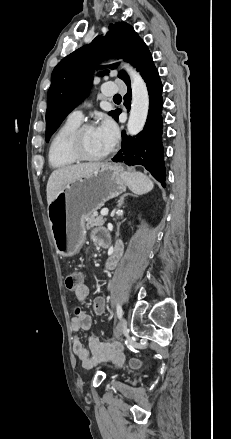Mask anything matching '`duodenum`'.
<instances>
[{"instance_id":"duodenum-1","label":"duodenum","mask_w":231,"mask_h":439,"mask_svg":"<svg viewBox=\"0 0 231 439\" xmlns=\"http://www.w3.org/2000/svg\"><path fill=\"white\" fill-rule=\"evenodd\" d=\"M106 245H107V243H104V244H103V246H106Z\"/></svg>"}]
</instances>
